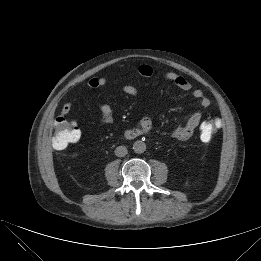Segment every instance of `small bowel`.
Listing matches in <instances>:
<instances>
[{"label": "small bowel", "instance_id": "obj_1", "mask_svg": "<svg viewBox=\"0 0 261 261\" xmlns=\"http://www.w3.org/2000/svg\"><path fill=\"white\" fill-rule=\"evenodd\" d=\"M138 73L142 76L149 77L153 73L151 66L143 64L138 67ZM164 78L172 83H174L178 88L183 91H190L192 97L197 99L200 105L203 108H206L210 105V99L206 97L202 90L193 89V86L189 80L185 77L175 73V72H166L164 73ZM107 84V79L103 76L92 77L88 80L87 85L89 88H101ZM123 91L130 96H136L138 90L135 86L126 84L122 87ZM98 111L105 118H109L112 114V108L109 104L102 103L98 105ZM72 105L70 103H65L62 107V115H68L71 112ZM201 112H194L187 122L183 125L176 127L172 133L171 137L177 141L188 140L194 134L195 130L201 126ZM153 123L150 116L145 115L141 118L139 125L135 128H128L124 131V136L127 139H134L141 135L147 134L152 129Z\"/></svg>", "mask_w": 261, "mask_h": 261}]
</instances>
